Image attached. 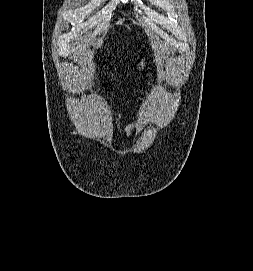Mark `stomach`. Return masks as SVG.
I'll use <instances>...</instances> for the list:
<instances>
[{
	"mask_svg": "<svg viewBox=\"0 0 253 271\" xmlns=\"http://www.w3.org/2000/svg\"><path fill=\"white\" fill-rule=\"evenodd\" d=\"M143 64H144V63H143V61H142L140 65L143 67Z\"/></svg>",
	"mask_w": 253,
	"mask_h": 271,
	"instance_id": "stomach-1",
	"label": "stomach"
}]
</instances>
